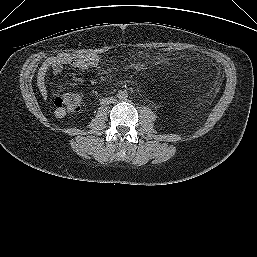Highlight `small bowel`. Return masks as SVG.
Segmentation results:
<instances>
[{"mask_svg": "<svg viewBox=\"0 0 257 257\" xmlns=\"http://www.w3.org/2000/svg\"><path fill=\"white\" fill-rule=\"evenodd\" d=\"M99 63L100 59L96 54H81L75 56L59 54L51 56L43 61L37 69L36 84L38 90L44 98H47L46 77L49 72L55 77L63 72L65 65H70L78 69H91L96 68ZM55 115L61 118L65 115V112L55 111Z\"/></svg>", "mask_w": 257, "mask_h": 257, "instance_id": "1", "label": "small bowel"}]
</instances>
